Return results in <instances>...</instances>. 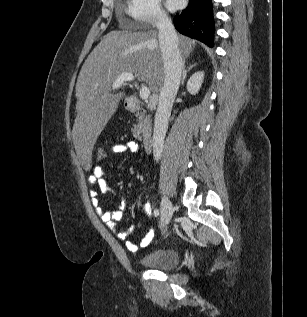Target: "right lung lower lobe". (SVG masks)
Segmentation results:
<instances>
[{
  "mask_svg": "<svg viewBox=\"0 0 307 317\" xmlns=\"http://www.w3.org/2000/svg\"><path fill=\"white\" fill-rule=\"evenodd\" d=\"M174 26L180 33L212 47L214 20L211 0H190L189 6L175 16Z\"/></svg>",
  "mask_w": 307,
  "mask_h": 317,
  "instance_id": "obj_1",
  "label": "right lung lower lobe"
}]
</instances>
